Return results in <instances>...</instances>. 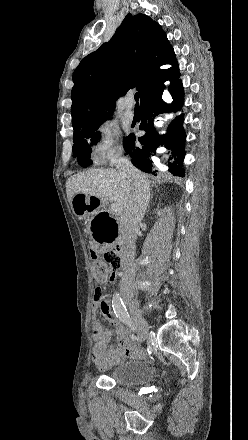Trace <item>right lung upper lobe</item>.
<instances>
[{"label":"right lung upper lobe","instance_id":"obj_1","mask_svg":"<svg viewBox=\"0 0 248 440\" xmlns=\"http://www.w3.org/2000/svg\"><path fill=\"white\" fill-rule=\"evenodd\" d=\"M171 64L167 70L160 65ZM173 48L161 26L150 17L128 13L108 43L82 59L73 74L72 125L74 135L98 129L108 120L115 100L136 87L141 102L179 80Z\"/></svg>","mask_w":248,"mask_h":440}]
</instances>
